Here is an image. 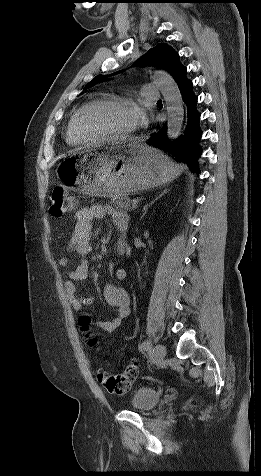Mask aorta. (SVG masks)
<instances>
[{"label":"aorta","instance_id":"aorta-1","mask_svg":"<svg viewBox=\"0 0 261 476\" xmlns=\"http://www.w3.org/2000/svg\"><path fill=\"white\" fill-rule=\"evenodd\" d=\"M153 83L160 89L167 107V137L177 139L180 135L184 108L182 96L174 79L163 71H157L153 75Z\"/></svg>","mask_w":261,"mask_h":476}]
</instances>
